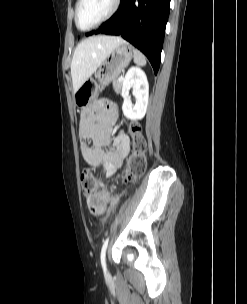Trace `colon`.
Here are the masks:
<instances>
[{"label":"colon","instance_id":"obj_1","mask_svg":"<svg viewBox=\"0 0 247 304\" xmlns=\"http://www.w3.org/2000/svg\"><path fill=\"white\" fill-rule=\"evenodd\" d=\"M130 132L133 137V152L129 157L126 171L123 176V181L126 184L133 183L144 173L146 167V144L141 135L139 125L132 123L130 125ZM81 185L83 192L89 195L87 197V202L90 212L93 215L101 214L110 199V191L108 189H103L94 192L97 187V179L90 170L83 171L81 175Z\"/></svg>","mask_w":247,"mask_h":304}]
</instances>
